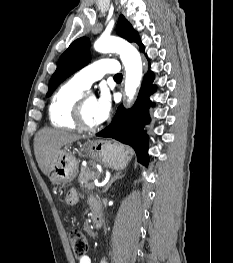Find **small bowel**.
Returning <instances> with one entry per match:
<instances>
[{
  "instance_id": "c3829d8e",
  "label": "small bowel",
  "mask_w": 233,
  "mask_h": 263,
  "mask_svg": "<svg viewBox=\"0 0 233 263\" xmlns=\"http://www.w3.org/2000/svg\"><path fill=\"white\" fill-rule=\"evenodd\" d=\"M77 199V193L75 191H71L66 198L67 202L70 204H75L77 202ZM95 202V200L90 201L91 204ZM78 263H92V259L90 256L86 255L85 257L79 259ZM101 263H107V261L103 260Z\"/></svg>"
}]
</instances>
